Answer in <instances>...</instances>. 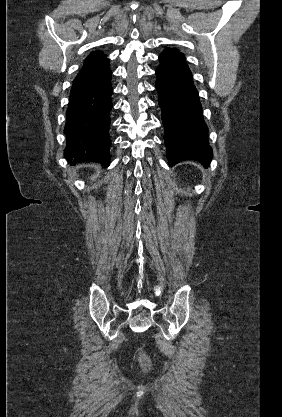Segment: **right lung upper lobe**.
Instances as JSON below:
<instances>
[{"instance_id": "right-lung-upper-lobe-1", "label": "right lung upper lobe", "mask_w": 282, "mask_h": 417, "mask_svg": "<svg viewBox=\"0 0 282 417\" xmlns=\"http://www.w3.org/2000/svg\"><path fill=\"white\" fill-rule=\"evenodd\" d=\"M106 59L105 55L102 52H92L85 60L84 65L82 68L88 67L90 65H93L97 62H100L102 60Z\"/></svg>"}]
</instances>
